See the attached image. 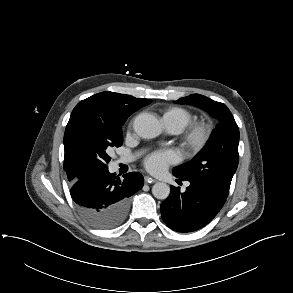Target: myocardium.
I'll use <instances>...</instances> for the list:
<instances>
[{
  "instance_id": "myocardium-1",
  "label": "myocardium",
  "mask_w": 293,
  "mask_h": 293,
  "mask_svg": "<svg viewBox=\"0 0 293 293\" xmlns=\"http://www.w3.org/2000/svg\"><path fill=\"white\" fill-rule=\"evenodd\" d=\"M212 126L206 121H195L181 132L182 145L190 152L201 151L209 142Z\"/></svg>"
}]
</instances>
